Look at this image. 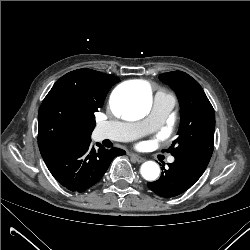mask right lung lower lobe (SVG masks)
<instances>
[{
  "mask_svg": "<svg viewBox=\"0 0 250 250\" xmlns=\"http://www.w3.org/2000/svg\"><path fill=\"white\" fill-rule=\"evenodd\" d=\"M90 138H80L40 150L54 178L71 191L83 192L97 183L111 161L125 151L100 146L96 151Z\"/></svg>",
  "mask_w": 250,
  "mask_h": 250,
  "instance_id": "98d812e1",
  "label": "right lung lower lobe"
}]
</instances>
